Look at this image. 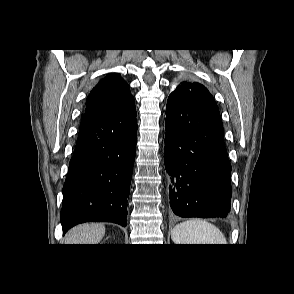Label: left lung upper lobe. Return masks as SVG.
Instances as JSON below:
<instances>
[{"label":"left lung upper lobe","mask_w":294,"mask_h":294,"mask_svg":"<svg viewBox=\"0 0 294 294\" xmlns=\"http://www.w3.org/2000/svg\"><path fill=\"white\" fill-rule=\"evenodd\" d=\"M169 97H174L190 104H216L206 87L189 80L182 81Z\"/></svg>","instance_id":"obj_1"}]
</instances>
